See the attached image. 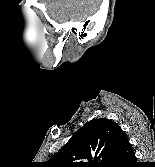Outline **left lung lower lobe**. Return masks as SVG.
I'll return each instance as SVG.
<instances>
[{"mask_svg": "<svg viewBox=\"0 0 155 167\" xmlns=\"http://www.w3.org/2000/svg\"><path fill=\"white\" fill-rule=\"evenodd\" d=\"M133 160H135L133 148L128 139H126L121 143L118 156L112 167H126Z\"/></svg>", "mask_w": 155, "mask_h": 167, "instance_id": "0a47b994", "label": "left lung lower lobe"}]
</instances>
